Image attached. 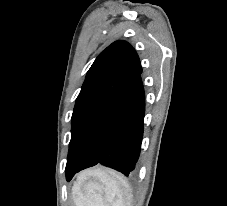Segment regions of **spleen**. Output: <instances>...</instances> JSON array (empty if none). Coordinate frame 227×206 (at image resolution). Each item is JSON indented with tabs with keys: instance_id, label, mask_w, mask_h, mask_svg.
<instances>
[{
	"instance_id": "spleen-1",
	"label": "spleen",
	"mask_w": 227,
	"mask_h": 206,
	"mask_svg": "<svg viewBox=\"0 0 227 206\" xmlns=\"http://www.w3.org/2000/svg\"><path fill=\"white\" fill-rule=\"evenodd\" d=\"M89 175L99 180L87 179V174L74 184L72 193L77 206H129L132 191L118 175L94 170Z\"/></svg>"
}]
</instances>
